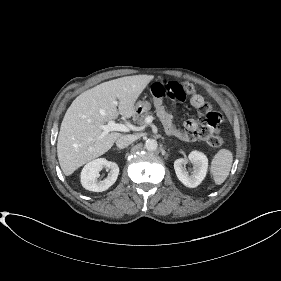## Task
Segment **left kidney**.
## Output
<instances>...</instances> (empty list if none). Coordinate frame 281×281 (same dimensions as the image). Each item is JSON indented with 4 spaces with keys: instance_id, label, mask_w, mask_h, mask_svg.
Wrapping results in <instances>:
<instances>
[{
    "instance_id": "1",
    "label": "left kidney",
    "mask_w": 281,
    "mask_h": 281,
    "mask_svg": "<svg viewBox=\"0 0 281 281\" xmlns=\"http://www.w3.org/2000/svg\"><path fill=\"white\" fill-rule=\"evenodd\" d=\"M188 160L193 164V172L189 175L185 169L186 160L183 158L174 161V169L178 179L189 188L197 187L205 178L208 169L206 155L198 151H192Z\"/></svg>"
}]
</instances>
